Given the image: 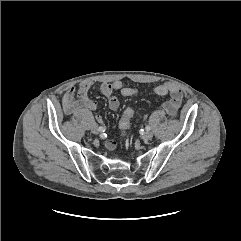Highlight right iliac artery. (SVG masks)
<instances>
[{
  "label": "right iliac artery",
  "instance_id": "1",
  "mask_svg": "<svg viewBox=\"0 0 241 241\" xmlns=\"http://www.w3.org/2000/svg\"><path fill=\"white\" fill-rule=\"evenodd\" d=\"M99 130H100L101 132H104V131H105V127L99 126Z\"/></svg>",
  "mask_w": 241,
  "mask_h": 241
}]
</instances>
